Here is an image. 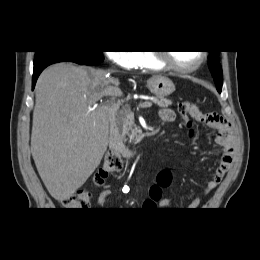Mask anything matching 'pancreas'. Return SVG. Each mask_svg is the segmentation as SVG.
<instances>
[{"mask_svg":"<svg viewBox=\"0 0 260 260\" xmlns=\"http://www.w3.org/2000/svg\"><path fill=\"white\" fill-rule=\"evenodd\" d=\"M152 101L161 108H166L172 105V102L166 98H155ZM133 121V112L130 107L128 105L122 106L117 114L116 122L122 131V137L124 140L126 141L125 136L127 135L130 142L133 141L134 144H136L141 140V136L138 134L136 129L131 128L134 123Z\"/></svg>","mask_w":260,"mask_h":260,"instance_id":"1","label":"pancreas"}]
</instances>
